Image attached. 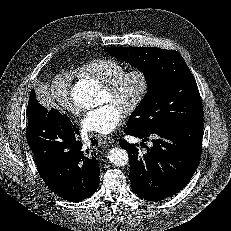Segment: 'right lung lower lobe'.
<instances>
[{
	"instance_id": "obj_1",
	"label": "right lung lower lobe",
	"mask_w": 231,
	"mask_h": 231,
	"mask_svg": "<svg viewBox=\"0 0 231 231\" xmlns=\"http://www.w3.org/2000/svg\"><path fill=\"white\" fill-rule=\"evenodd\" d=\"M27 142L37 169L51 191L76 202L90 197L98 188L100 168L94 149L85 151L77 140L78 128L58 110L47 111L31 91L28 109ZM92 148L97 140L91 139Z\"/></svg>"
}]
</instances>
